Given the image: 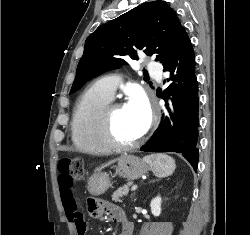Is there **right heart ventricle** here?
<instances>
[{"label": "right heart ventricle", "instance_id": "obj_1", "mask_svg": "<svg viewBox=\"0 0 250 235\" xmlns=\"http://www.w3.org/2000/svg\"><path fill=\"white\" fill-rule=\"evenodd\" d=\"M111 100L92 85L77 101L72 115L71 136L79 152L101 155L111 151L101 134V114Z\"/></svg>", "mask_w": 250, "mask_h": 235}]
</instances>
